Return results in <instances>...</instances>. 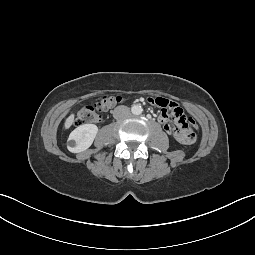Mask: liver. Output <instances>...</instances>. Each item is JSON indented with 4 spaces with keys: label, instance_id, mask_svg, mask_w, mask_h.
<instances>
[{
    "label": "liver",
    "instance_id": "6515ba94",
    "mask_svg": "<svg viewBox=\"0 0 255 255\" xmlns=\"http://www.w3.org/2000/svg\"><path fill=\"white\" fill-rule=\"evenodd\" d=\"M74 122V114H71L64 123V129H69Z\"/></svg>",
    "mask_w": 255,
    "mask_h": 255
}]
</instances>
